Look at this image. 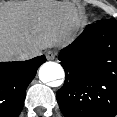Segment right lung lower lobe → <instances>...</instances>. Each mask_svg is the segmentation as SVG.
<instances>
[{
	"mask_svg": "<svg viewBox=\"0 0 117 117\" xmlns=\"http://www.w3.org/2000/svg\"><path fill=\"white\" fill-rule=\"evenodd\" d=\"M45 61V56H39L27 61L0 63V117H18L26 88Z\"/></svg>",
	"mask_w": 117,
	"mask_h": 117,
	"instance_id": "1",
	"label": "right lung lower lobe"
}]
</instances>
